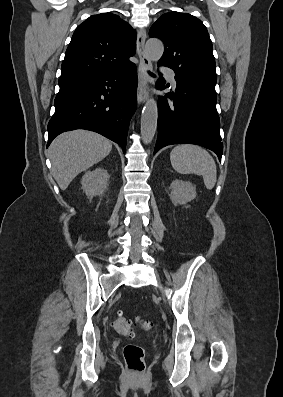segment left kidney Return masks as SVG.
Segmentation results:
<instances>
[{"mask_svg":"<svg viewBox=\"0 0 283 397\" xmlns=\"http://www.w3.org/2000/svg\"><path fill=\"white\" fill-rule=\"evenodd\" d=\"M170 189L169 196L174 205H184L196 197V187L190 182L176 179L171 183Z\"/></svg>","mask_w":283,"mask_h":397,"instance_id":"5707ae66","label":"left kidney"}]
</instances>
